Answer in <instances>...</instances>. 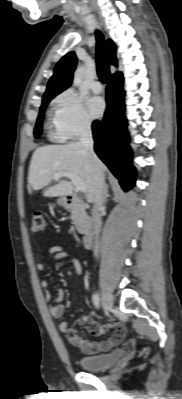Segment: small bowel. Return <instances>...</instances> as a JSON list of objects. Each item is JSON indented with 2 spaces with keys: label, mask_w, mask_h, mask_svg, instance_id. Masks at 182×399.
<instances>
[{
  "label": "small bowel",
  "mask_w": 182,
  "mask_h": 399,
  "mask_svg": "<svg viewBox=\"0 0 182 399\" xmlns=\"http://www.w3.org/2000/svg\"><path fill=\"white\" fill-rule=\"evenodd\" d=\"M48 255L50 256L51 260L58 261V260H68L70 261L75 268V271L78 275H82L83 269L82 265L78 259V257L72 253H69L64 250L61 246H53L48 250ZM36 267L39 271H43L45 269V263L39 261L36 264ZM54 278L50 277L49 280H44L41 282V286L45 289V299L49 305V312L50 315L54 319H61L65 313V307L61 304V300L63 299L64 293L62 289L56 288L57 296L53 300L52 294L49 291L51 284L53 283ZM81 319L86 327L88 333L93 336H101L107 333L109 330H112L111 337L105 341H94L90 342L88 340L83 339L78 332L69 327L68 322L63 320L59 323V331L62 335L66 338V340L78 347L83 353L85 354H97L100 352L108 351L113 346L118 344L123 337V333L125 330L124 325L117 319L111 318L106 326L98 324L93 319L80 315Z\"/></svg>",
  "instance_id": "1"
}]
</instances>
